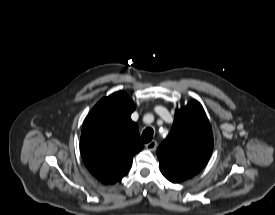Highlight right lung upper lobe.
<instances>
[{"mask_svg":"<svg viewBox=\"0 0 275 215\" xmlns=\"http://www.w3.org/2000/svg\"><path fill=\"white\" fill-rule=\"evenodd\" d=\"M135 104L122 91L103 98L83 123L80 149L83 162L103 184L120 181L130 170L133 156L144 145L130 116Z\"/></svg>","mask_w":275,"mask_h":215,"instance_id":"right-lung-upper-lobe-1","label":"right lung upper lobe"}]
</instances>
